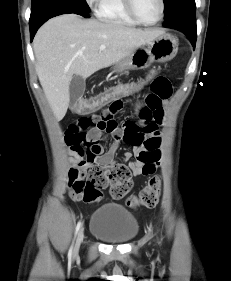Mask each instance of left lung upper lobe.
<instances>
[{
  "instance_id": "1",
  "label": "left lung upper lobe",
  "mask_w": 231,
  "mask_h": 281,
  "mask_svg": "<svg viewBox=\"0 0 231 281\" xmlns=\"http://www.w3.org/2000/svg\"><path fill=\"white\" fill-rule=\"evenodd\" d=\"M165 7L164 22L185 10H196L195 0H163Z\"/></svg>"
}]
</instances>
